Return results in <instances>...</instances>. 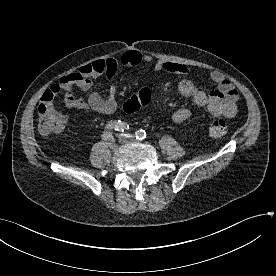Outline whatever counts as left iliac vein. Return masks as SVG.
<instances>
[{
	"label": "left iliac vein",
	"instance_id": "left-iliac-vein-1",
	"mask_svg": "<svg viewBox=\"0 0 276 276\" xmlns=\"http://www.w3.org/2000/svg\"><path fill=\"white\" fill-rule=\"evenodd\" d=\"M119 140L122 143H134L137 141L134 136L124 134L119 135Z\"/></svg>",
	"mask_w": 276,
	"mask_h": 276
}]
</instances>
